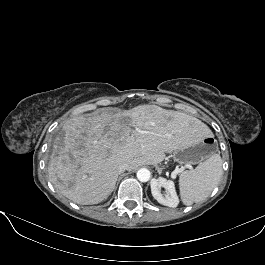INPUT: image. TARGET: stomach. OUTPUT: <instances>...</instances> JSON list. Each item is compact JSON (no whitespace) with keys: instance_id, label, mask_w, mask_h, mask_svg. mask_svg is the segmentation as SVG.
Segmentation results:
<instances>
[{"instance_id":"obj_1","label":"stomach","mask_w":265,"mask_h":265,"mask_svg":"<svg viewBox=\"0 0 265 265\" xmlns=\"http://www.w3.org/2000/svg\"><path fill=\"white\" fill-rule=\"evenodd\" d=\"M215 150L212 137L204 136L174 151V158L180 164H198L210 157Z\"/></svg>"}]
</instances>
